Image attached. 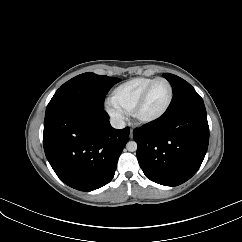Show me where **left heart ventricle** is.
Here are the masks:
<instances>
[{
    "mask_svg": "<svg viewBox=\"0 0 242 242\" xmlns=\"http://www.w3.org/2000/svg\"><path fill=\"white\" fill-rule=\"evenodd\" d=\"M169 98V87L166 82L158 81L150 89L139 114L142 117H153L165 107Z\"/></svg>",
    "mask_w": 242,
    "mask_h": 242,
    "instance_id": "1",
    "label": "left heart ventricle"
}]
</instances>
